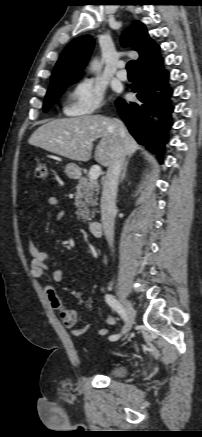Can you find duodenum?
I'll return each instance as SVG.
<instances>
[{
	"label": "duodenum",
	"mask_w": 202,
	"mask_h": 437,
	"mask_svg": "<svg viewBox=\"0 0 202 437\" xmlns=\"http://www.w3.org/2000/svg\"><path fill=\"white\" fill-rule=\"evenodd\" d=\"M89 231L92 236L94 237H100L102 234V224L98 220H93L88 225Z\"/></svg>",
	"instance_id": "1"
}]
</instances>
